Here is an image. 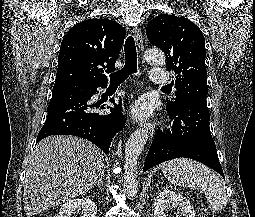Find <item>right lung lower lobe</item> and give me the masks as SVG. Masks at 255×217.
<instances>
[{"instance_id": "right-lung-lower-lobe-1", "label": "right lung lower lobe", "mask_w": 255, "mask_h": 217, "mask_svg": "<svg viewBox=\"0 0 255 217\" xmlns=\"http://www.w3.org/2000/svg\"><path fill=\"white\" fill-rule=\"evenodd\" d=\"M107 84L97 83H61L54 85L52 99L48 105L47 119L40 130L38 143L51 135H73L82 137L99 146L108 153L114 135L125 126V117L121 114V101L111 113L101 115L96 112L100 105L90 104L91 97L98 93V87ZM105 105L100 109H104ZM108 108V106H107Z\"/></svg>"}]
</instances>
